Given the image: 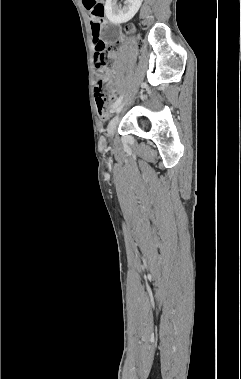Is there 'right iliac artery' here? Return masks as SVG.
Instances as JSON below:
<instances>
[{"instance_id": "obj_1", "label": "right iliac artery", "mask_w": 241, "mask_h": 379, "mask_svg": "<svg viewBox=\"0 0 241 379\" xmlns=\"http://www.w3.org/2000/svg\"><path fill=\"white\" fill-rule=\"evenodd\" d=\"M122 98H123V96H120V97L116 100V102L114 103L113 108H116V107L121 103Z\"/></svg>"}]
</instances>
